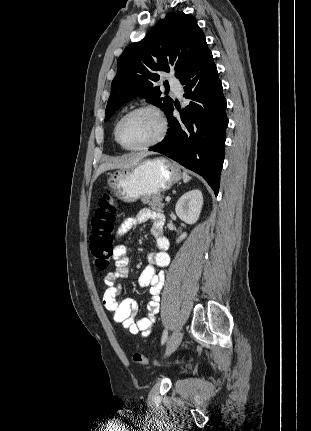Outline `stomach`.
<instances>
[{"label": "stomach", "instance_id": "1", "mask_svg": "<svg viewBox=\"0 0 311 431\" xmlns=\"http://www.w3.org/2000/svg\"><path fill=\"white\" fill-rule=\"evenodd\" d=\"M181 178L178 166L171 164L167 158H153L143 160L134 168L112 172L107 180V190L120 202L133 204L140 198L170 190Z\"/></svg>", "mask_w": 311, "mask_h": 431}]
</instances>
